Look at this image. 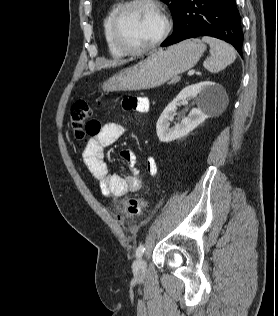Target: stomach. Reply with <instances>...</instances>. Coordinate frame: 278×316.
<instances>
[{"mask_svg":"<svg viewBox=\"0 0 278 316\" xmlns=\"http://www.w3.org/2000/svg\"><path fill=\"white\" fill-rule=\"evenodd\" d=\"M205 50L199 39H189L167 49L150 53L140 63L109 78L103 88L111 91H137L158 87L191 69Z\"/></svg>","mask_w":278,"mask_h":316,"instance_id":"obj_1","label":"stomach"}]
</instances>
